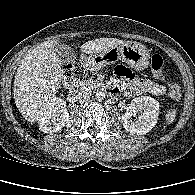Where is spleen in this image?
<instances>
[{"label":"spleen","mask_w":195,"mask_h":195,"mask_svg":"<svg viewBox=\"0 0 195 195\" xmlns=\"http://www.w3.org/2000/svg\"><path fill=\"white\" fill-rule=\"evenodd\" d=\"M176 117V110L175 109H170L166 112L165 118H166V124H171Z\"/></svg>","instance_id":"spleen-1"}]
</instances>
